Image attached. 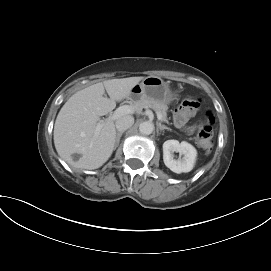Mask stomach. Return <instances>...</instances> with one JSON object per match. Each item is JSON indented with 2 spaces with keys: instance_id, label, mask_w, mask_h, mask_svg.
<instances>
[{
  "instance_id": "0dacf381",
  "label": "stomach",
  "mask_w": 271,
  "mask_h": 271,
  "mask_svg": "<svg viewBox=\"0 0 271 271\" xmlns=\"http://www.w3.org/2000/svg\"><path fill=\"white\" fill-rule=\"evenodd\" d=\"M176 98L169 85L160 77L148 76L141 83L136 84L131 90L129 99L137 101L140 99H151L163 104H170Z\"/></svg>"
}]
</instances>
